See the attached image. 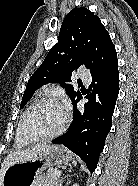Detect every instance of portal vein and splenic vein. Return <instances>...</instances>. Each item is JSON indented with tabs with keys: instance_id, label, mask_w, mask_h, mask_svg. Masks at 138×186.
<instances>
[{
	"instance_id": "obj_1",
	"label": "portal vein and splenic vein",
	"mask_w": 138,
	"mask_h": 186,
	"mask_svg": "<svg viewBox=\"0 0 138 186\" xmlns=\"http://www.w3.org/2000/svg\"><path fill=\"white\" fill-rule=\"evenodd\" d=\"M61 174H62V171H61V170H58V171H55V172L52 174V177H53V178H57V177H60Z\"/></svg>"
}]
</instances>
